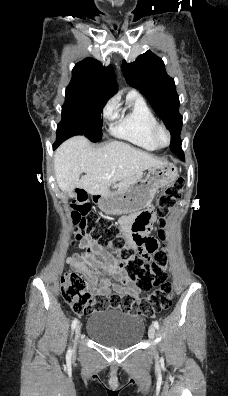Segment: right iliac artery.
I'll list each match as a JSON object with an SVG mask.
<instances>
[{
  "mask_svg": "<svg viewBox=\"0 0 228 396\" xmlns=\"http://www.w3.org/2000/svg\"><path fill=\"white\" fill-rule=\"evenodd\" d=\"M77 324H78V320H77V319H74L73 322H72V330L75 329V327L77 326ZM71 354H72V352H71V349L69 348L68 351H67L66 358H71Z\"/></svg>",
  "mask_w": 228,
  "mask_h": 396,
  "instance_id": "82829eb1",
  "label": "right iliac artery"
}]
</instances>
